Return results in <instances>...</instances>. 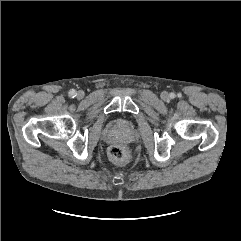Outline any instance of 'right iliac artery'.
<instances>
[{
  "label": "right iliac artery",
  "instance_id": "right-iliac-artery-1",
  "mask_svg": "<svg viewBox=\"0 0 241 241\" xmlns=\"http://www.w3.org/2000/svg\"><path fill=\"white\" fill-rule=\"evenodd\" d=\"M69 96L72 97V98H74V97L76 96V91L73 90V89L70 90V91H69Z\"/></svg>",
  "mask_w": 241,
  "mask_h": 241
}]
</instances>
